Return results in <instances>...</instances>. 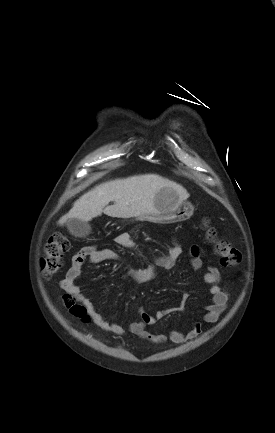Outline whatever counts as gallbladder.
Wrapping results in <instances>:
<instances>
[{
    "instance_id": "gallbladder-1",
    "label": "gallbladder",
    "mask_w": 275,
    "mask_h": 433,
    "mask_svg": "<svg viewBox=\"0 0 275 433\" xmlns=\"http://www.w3.org/2000/svg\"><path fill=\"white\" fill-rule=\"evenodd\" d=\"M66 225L69 232L75 237L84 238L91 232L89 223L79 219H69Z\"/></svg>"
}]
</instances>
